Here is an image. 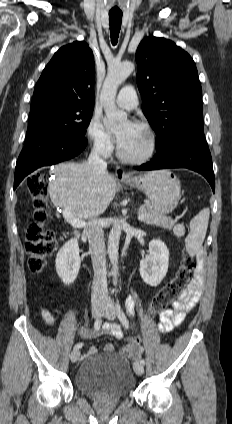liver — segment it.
<instances>
[{
	"mask_svg": "<svg viewBox=\"0 0 232 424\" xmlns=\"http://www.w3.org/2000/svg\"><path fill=\"white\" fill-rule=\"evenodd\" d=\"M48 192L56 207L69 208L75 218L91 220L108 208L116 194V182L109 173L101 176L87 164L59 163L52 169Z\"/></svg>",
	"mask_w": 232,
	"mask_h": 424,
	"instance_id": "obj_1",
	"label": "liver"
}]
</instances>
